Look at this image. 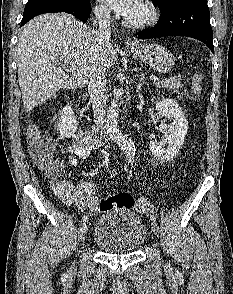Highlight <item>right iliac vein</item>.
Wrapping results in <instances>:
<instances>
[{
  "instance_id": "1",
  "label": "right iliac vein",
  "mask_w": 233,
  "mask_h": 294,
  "mask_svg": "<svg viewBox=\"0 0 233 294\" xmlns=\"http://www.w3.org/2000/svg\"><path fill=\"white\" fill-rule=\"evenodd\" d=\"M87 225L86 223H82V225L80 226L79 229V233H78V241L81 242L82 240H84L86 234H87Z\"/></svg>"
}]
</instances>
